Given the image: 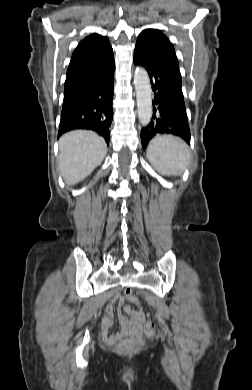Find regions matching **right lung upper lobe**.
Segmentation results:
<instances>
[{"mask_svg": "<svg viewBox=\"0 0 252 390\" xmlns=\"http://www.w3.org/2000/svg\"><path fill=\"white\" fill-rule=\"evenodd\" d=\"M113 65V50L107 37L93 33L83 39L74 50L64 89L81 81L103 76Z\"/></svg>", "mask_w": 252, "mask_h": 390, "instance_id": "right-lung-upper-lobe-1", "label": "right lung upper lobe"}]
</instances>
